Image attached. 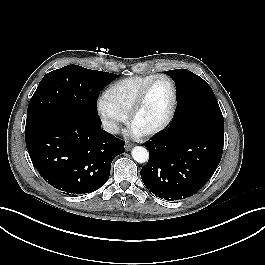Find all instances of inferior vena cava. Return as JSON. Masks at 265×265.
Returning <instances> with one entry per match:
<instances>
[{"mask_svg": "<svg viewBox=\"0 0 265 265\" xmlns=\"http://www.w3.org/2000/svg\"><path fill=\"white\" fill-rule=\"evenodd\" d=\"M103 129L111 134H118L119 133V127L116 123L108 120H104L102 122Z\"/></svg>", "mask_w": 265, "mask_h": 265, "instance_id": "1", "label": "inferior vena cava"}]
</instances>
